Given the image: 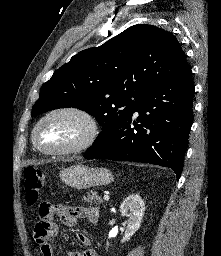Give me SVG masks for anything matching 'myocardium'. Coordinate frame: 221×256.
Here are the masks:
<instances>
[{
  "label": "myocardium",
  "instance_id": "myocardium-1",
  "mask_svg": "<svg viewBox=\"0 0 221 256\" xmlns=\"http://www.w3.org/2000/svg\"><path fill=\"white\" fill-rule=\"evenodd\" d=\"M58 114H72L76 115L77 117L81 118L85 125H86V132L84 136L75 144L70 145L68 147L64 148H57V149H49L41 146L38 142V131L41 127V125L48 120L49 118L58 115ZM101 133V126L94 114H92L87 109L80 107V106H74V105H67V106H60L56 107L50 111H48L45 115H43L36 125L33 128L32 131V142L34 146L40 150L41 152L48 154V155H68L73 153L81 152L85 149H88L91 147L96 140L99 138Z\"/></svg>",
  "mask_w": 221,
  "mask_h": 256
}]
</instances>
